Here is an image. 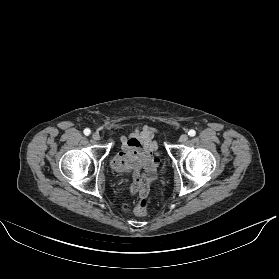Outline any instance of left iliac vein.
<instances>
[{
  "label": "left iliac vein",
  "instance_id": "1",
  "mask_svg": "<svg viewBox=\"0 0 279 279\" xmlns=\"http://www.w3.org/2000/svg\"><path fill=\"white\" fill-rule=\"evenodd\" d=\"M187 140H188V135L187 134H182L179 137V142H181V143H185V142H187Z\"/></svg>",
  "mask_w": 279,
  "mask_h": 279
}]
</instances>
